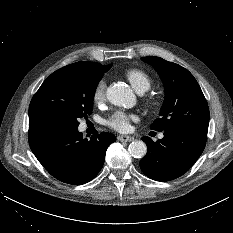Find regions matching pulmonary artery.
Instances as JSON below:
<instances>
[{"label":"pulmonary artery","instance_id":"pulmonary-artery-1","mask_svg":"<svg viewBox=\"0 0 233 233\" xmlns=\"http://www.w3.org/2000/svg\"><path fill=\"white\" fill-rule=\"evenodd\" d=\"M140 94H142V93H140ZM160 138H163V134L160 135Z\"/></svg>","mask_w":233,"mask_h":233}]
</instances>
